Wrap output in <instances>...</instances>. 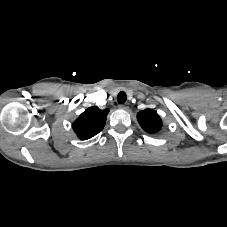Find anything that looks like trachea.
Returning <instances> with one entry per match:
<instances>
[{"label": "trachea", "instance_id": "3493384b", "mask_svg": "<svg viewBox=\"0 0 227 227\" xmlns=\"http://www.w3.org/2000/svg\"><path fill=\"white\" fill-rule=\"evenodd\" d=\"M127 100V96L126 93L121 91L119 92L118 96H117V101L119 104H124Z\"/></svg>", "mask_w": 227, "mask_h": 227}]
</instances>
